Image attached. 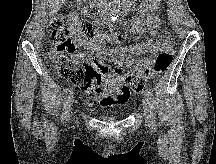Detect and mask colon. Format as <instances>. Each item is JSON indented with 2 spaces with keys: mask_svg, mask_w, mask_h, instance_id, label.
Listing matches in <instances>:
<instances>
[{
  "mask_svg": "<svg viewBox=\"0 0 216 164\" xmlns=\"http://www.w3.org/2000/svg\"><path fill=\"white\" fill-rule=\"evenodd\" d=\"M77 28L78 22L70 15L56 16L50 21L49 29L54 47L49 52V58L60 76L89 92L101 86L106 68L76 53L72 37ZM168 43V48L158 54L152 65L143 67L131 78L130 87L133 92H142L147 80L165 72L171 66L173 52L169 39Z\"/></svg>",
  "mask_w": 216,
  "mask_h": 164,
  "instance_id": "1",
  "label": "colon"
}]
</instances>
